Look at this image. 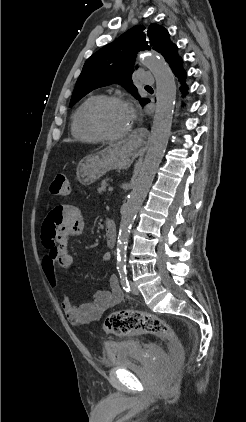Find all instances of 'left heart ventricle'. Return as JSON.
Returning a JSON list of instances; mask_svg holds the SVG:
<instances>
[{
	"instance_id": "obj_1",
	"label": "left heart ventricle",
	"mask_w": 246,
	"mask_h": 422,
	"mask_svg": "<svg viewBox=\"0 0 246 422\" xmlns=\"http://www.w3.org/2000/svg\"><path fill=\"white\" fill-rule=\"evenodd\" d=\"M98 119L101 127L109 134L123 132L132 122L129 107L117 103L105 105L99 111Z\"/></svg>"
}]
</instances>
